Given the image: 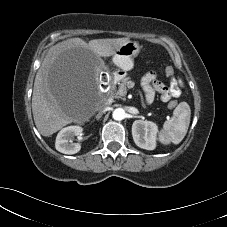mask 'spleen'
<instances>
[{"mask_svg":"<svg viewBox=\"0 0 227 227\" xmlns=\"http://www.w3.org/2000/svg\"><path fill=\"white\" fill-rule=\"evenodd\" d=\"M191 110L186 102H181L173 111V116L165 121L159 134L162 144H179L185 137L190 124Z\"/></svg>","mask_w":227,"mask_h":227,"instance_id":"3e777b00","label":"spleen"}]
</instances>
